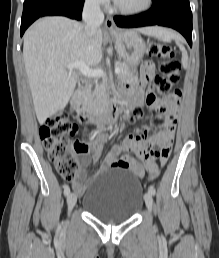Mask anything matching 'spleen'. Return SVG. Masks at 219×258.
I'll return each mask as SVG.
<instances>
[{"mask_svg":"<svg viewBox=\"0 0 219 258\" xmlns=\"http://www.w3.org/2000/svg\"><path fill=\"white\" fill-rule=\"evenodd\" d=\"M151 35L165 42H170L172 39H175L182 52V65L184 67L188 66V53L185 47L179 42L178 36L173 31L161 27H154Z\"/></svg>","mask_w":219,"mask_h":258,"instance_id":"1","label":"spleen"}]
</instances>
